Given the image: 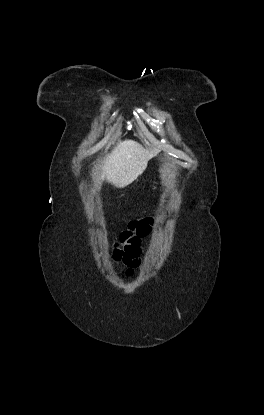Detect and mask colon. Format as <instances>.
Here are the masks:
<instances>
[{
    "mask_svg": "<svg viewBox=\"0 0 264 415\" xmlns=\"http://www.w3.org/2000/svg\"><path fill=\"white\" fill-rule=\"evenodd\" d=\"M150 225L146 222H132L127 229L119 236L120 248L114 258L122 260L126 264L130 263L134 251L137 250L139 243L148 235Z\"/></svg>",
    "mask_w": 264,
    "mask_h": 415,
    "instance_id": "colon-1",
    "label": "colon"
}]
</instances>
